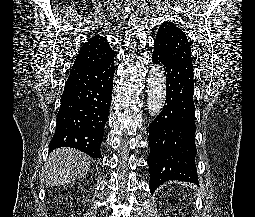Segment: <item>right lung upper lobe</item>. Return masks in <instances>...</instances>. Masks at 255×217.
<instances>
[{"mask_svg":"<svg viewBox=\"0 0 255 217\" xmlns=\"http://www.w3.org/2000/svg\"><path fill=\"white\" fill-rule=\"evenodd\" d=\"M114 57L115 53L106 39L95 35L82 45L73 67L102 65L113 60Z\"/></svg>","mask_w":255,"mask_h":217,"instance_id":"1","label":"right lung upper lobe"}]
</instances>
